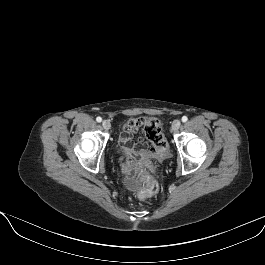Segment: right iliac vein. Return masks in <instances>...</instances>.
<instances>
[{
  "instance_id": "obj_1",
  "label": "right iliac vein",
  "mask_w": 265,
  "mask_h": 265,
  "mask_svg": "<svg viewBox=\"0 0 265 265\" xmlns=\"http://www.w3.org/2000/svg\"><path fill=\"white\" fill-rule=\"evenodd\" d=\"M102 126L105 130H109L111 128V123L108 120H104Z\"/></svg>"
}]
</instances>
